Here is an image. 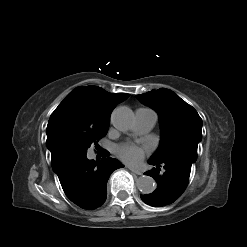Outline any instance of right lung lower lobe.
Wrapping results in <instances>:
<instances>
[{"instance_id":"obj_1","label":"right lung lower lobe","mask_w":247,"mask_h":247,"mask_svg":"<svg viewBox=\"0 0 247 247\" xmlns=\"http://www.w3.org/2000/svg\"><path fill=\"white\" fill-rule=\"evenodd\" d=\"M51 165L66 196L87 210L95 209L105 202L110 174L124 167L110 157L95 161L88 160L86 155L65 152L52 155Z\"/></svg>"}]
</instances>
